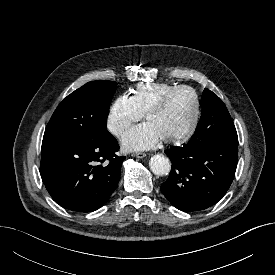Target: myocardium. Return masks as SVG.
<instances>
[{
	"mask_svg": "<svg viewBox=\"0 0 275 275\" xmlns=\"http://www.w3.org/2000/svg\"><path fill=\"white\" fill-rule=\"evenodd\" d=\"M181 90H188V91L192 92V94L194 96L195 109H194L193 119H192V122H191L190 126L188 127V129L185 132H183L182 134H180L178 136H175V137L163 139V141L165 143L180 144V143L186 142L195 133V131L198 127V124H199L200 113H201L200 97H199V94H198L197 90L195 88H193L192 86H189V85L174 86L171 89H169L168 91H166L165 93H163L148 108V110L145 113V119L147 120L150 115H152L156 112H159L160 110L163 109V107L165 106L166 102L171 97V95H173L174 93H176L178 91H181Z\"/></svg>",
	"mask_w": 275,
	"mask_h": 275,
	"instance_id": "obj_1",
	"label": "myocardium"
}]
</instances>
